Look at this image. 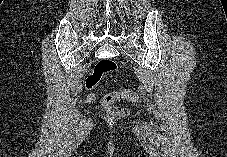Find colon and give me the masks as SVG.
<instances>
[{"instance_id": "1", "label": "colon", "mask_w": 227, "mask_h": 157, "mask_svg": "<svg viewBox=\"0 0 227 157\" xmlns=\"http://www.w3.org/2000/svg\"><path fill=\"white\" fill-rule=\"evenodd\" d=\"M117 65L115 62L102 59L97 62L95 68L87 79L85 86L89 90L88 100L93 101L95 96L93 93L94 88L99 83L100 79L111 73H116ZM126 100L130 102H137L138 95L135 91L131 89H123L115 92H110L103 96L100 100V104L104 107L105 111L112 116H125L129 114V110L125 107L116 105L117 101Z\"/></svg>"}]
</instances>
